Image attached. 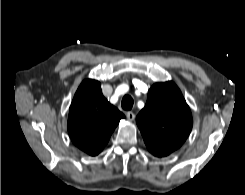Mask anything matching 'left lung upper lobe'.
Masks as SVG:
<instances>
[{
	"mask_svg": "<svg viewBox=\"0 0 245 195\" xmlns=\"http://www.w3.org/2000/svg\"><path fill=\"white\" fill-rule=\"evenodd\" d=\"M149 151L158 157L178 149L192 129V114L172 81L156 83L148 91L145 107L136 117Z\"/></svg>",
	"mask_w": 245,
	"mask_h": 195,
	"instance_id": "1",
	"label": "left lung upper lobe"
}]
</instances>
